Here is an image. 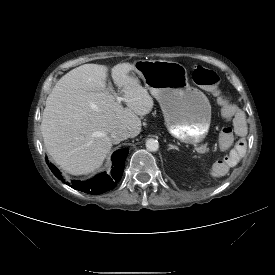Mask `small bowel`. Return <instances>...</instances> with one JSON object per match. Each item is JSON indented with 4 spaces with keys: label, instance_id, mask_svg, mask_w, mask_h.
I'll return each mask as SVG.
<instances>
[{
    "label": "small bowel",
    "instance_id": "obj_1",
    "mask_svg": "<svg viewBox=\"0 0 275 275\" xmlns=\"http://www.w3.org/2000/svg\"><path fill=\"white\" fill-rule=\"evenodd\" d=\"M235 109V107H234ZM247 131L246 118L244 113L236 108L233 114V130L225 128L220 133V143L223 149H227L232 145L233 132L236 135H245ZM241 156L232 149L221 152L214 163L210 165L208 174L211 179L220 181L225 178L226 174L238 169L241 163Z\"/></svg>",
    "mask_w": 275,
    "mask_h": 275
}]
</instances>
